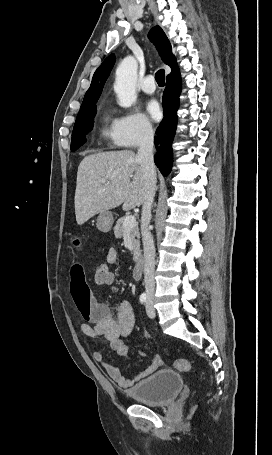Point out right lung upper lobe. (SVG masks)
I'll return each instance as SVG.
<instances>
[{"label": "right lung upper lobe", "mask_w": 272, "mask_h": 455, "mask_svg": "<svg viewBox=\"0 0 272 455\" xmlns=\"http://www.w3.org/2000/svg\"><path fill=\"white\" fill-rule=\"evenodd\" d=\"M149 38L152 42L155 43L163 62L171 67V73L167 76V78L179 74V68L177 66L176 59L172 54L171 44L162 28L155 26L150 31ZM114 62L115 55L111 54L95 71L90 88L84 96L81 107L97 102L102 92L105 81L108 78L110 71L114 65Z\"/></svg>", "instance_id": "right-lung-upper-lobe-1"}]
</instances>
